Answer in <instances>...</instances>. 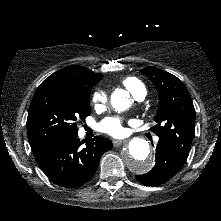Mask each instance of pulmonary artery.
Instances as JSON below:
<instances>
[{
  "instance_id": "e3ab8cb5",
  "label": "pulmonary artery",
  "mask_w": 221,
  "mask_h": 221,
  "mask_svg": "<svg viewBox=\"0 0 221 221\" xmlns=\"http://www.w3.org/2000/svg\"><path fill=\"white\" fill-rule=\"evenodd\" d=\"M145 95H146V93L143 92V93H140L139 95H137L135 98L138 101H142L144 99ZM155 141H158V137L155 138Z\"/></svg>"
}]
</instances>
